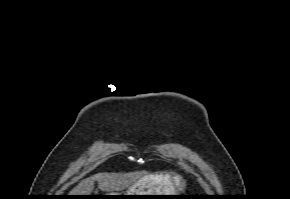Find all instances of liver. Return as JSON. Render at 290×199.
Instances as JSON below:
<instances>
[{"mask_svg": "<svg viewBox=\"0 0 290 199\" xmlns=\"http://www.w3.org/2000/svg\"><path fill=\"white\" fill-rule=\"evenodd\" d=\"M160 178H165L168 183H171L169 176L158 175ZM138 179L134 174H118V173H99L89 178L82 180L73 188L70 195H90L94 188V182L97 181L99 189L105 192H118L133 184ZM174 182L178 184L179 177L174 178Z\"/></svg>", "mask_w": 290, "mask_h": 199, "instance_id": "obj_1", "label": "liver"}]
</instances>
